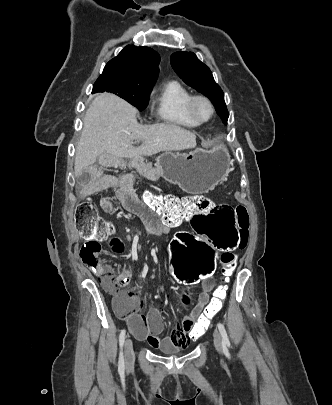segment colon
<instances>
[{
    "instance_id": "5ec220e1",
    "label": "colon",
    "mask_w": 332,
    "mask_h": 405,
    "mask_svg": "<svg viewBox=\"0 0 332 405\" xmlns=\"http://www.w3.org/2000/svg\"><path fill=\"white\" fill-rule=\"evenodd\" d=\"M145 210H152L165 223L192 220V227L174 234L171 240L170 275L178 287H197L199 281H208L215 274L220 257L221 283L207 307L198 312L194 329L189 331L190 342H201L203 331L208 330L210 318L222 308L227 294V283L236 265L235 249H244L248 242L249 215L242 207H232L231 202H216L205 196L153 194L145 189L140 194ZM215 206V207H214ZM213 208V211H202ZM238 223V227H237ZM75 224L87 239L81 246L80 257L89 268H103L99 239L112 230V226L98 213L93 203L81 201L75 209ZM113 256H122V247L112 248ZM107 289L114 295L115 307L129 312L135 297L122 291L121 282L111 271L103 275Z\"/></svg>"
}]
</instances>
